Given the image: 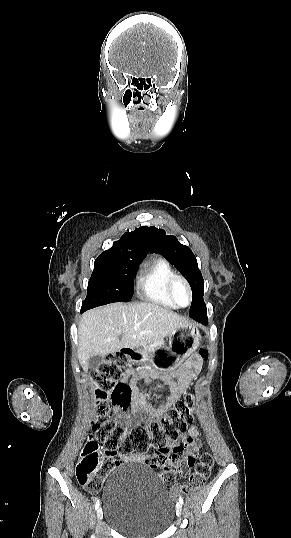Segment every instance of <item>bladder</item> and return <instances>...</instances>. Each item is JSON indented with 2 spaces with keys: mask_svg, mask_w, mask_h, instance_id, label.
<instances>
[{
  "mask_svg": "<svg viewBox=\"0 0 291 538\" xmlns=\"http://www.w3.org/2000/svg\"><path fill=\"white\" fill-rule=\"evenodd\" d=\"M109 526L128 538H156L173 522L174 503L147 467L127 463L108 477L103 509Z\"/></svg>",
  "mask_w": 291,
  "mask_h": 538,
  "instance_id": "bladder-1",
  "label": "bladder"
}]
</instances>
